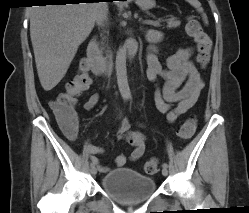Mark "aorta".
Returning <instances> with one entry per match:
<instances>
[{"label": "aorta", "instance_id": "obj_1", "mask_svg": "<svg viewBox=\"0 0 249 213\" xmlns=\"http://www.w3.org/2000/svg\"><path fill=\"white\" fill-rule=\"evenodd\" d=\"M116 75L120 93L123 97H130V88L127 79L126 49L120 47L116 55Z\"/></svg>", "mask_w": 249, "mask_h": 213}]
</instances>
